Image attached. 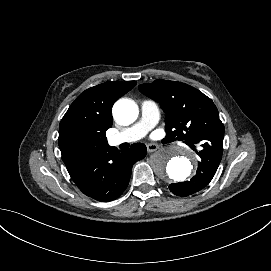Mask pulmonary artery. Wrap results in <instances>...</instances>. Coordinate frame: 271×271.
<instances>
[{
    "instance_id": "pulmonary-artery-1",
    "label": "pulmonary artery",
    "mask_w": 271,
    "mask_h": 271,
    "mask_svg": "<svg viewBox=\"0 0 271 271\" xmlns=\"http://www.w3.org/2000/svg\"><path fill=\"white\" fill-rule=\"evenodd\" d=\"M160 118V111L157 103L152 100L141 102V118L133 126L113 133L107 137L109 146H118L123 143H134L142 139L157 124ZM196 154H200L203 148L196 145L193 148Z\"/></svg>"
}]
</instances>
